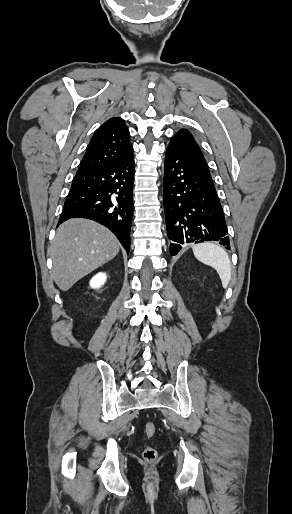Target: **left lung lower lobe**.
Instances as JSON below:
<instances>
[{"label":"left lung lower lobe","instance_id":"obj_1","mask_svg":"<svg viewBox=\"0 0 292 514\" xmlns=\"http://www.w3.org/2000/svg\"><path fill=\"white\" fill-rule=\"evenodd\" d=\"M163 201L171 256L186 243L217 241L230 248L227 225L208 169L179 145L166 150Z\"/></svg>","mask_w":292,"mask_h":514}]
</instances>
